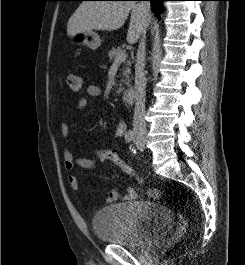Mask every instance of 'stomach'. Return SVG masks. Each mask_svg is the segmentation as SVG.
Listing matches in <instances>:
<instances>
[{
    "label": "stomach",
    "instance_id": "obj_1",
    "mask_svg": "<svg viewBox=\"0 0 245 265\" xmlns=\"http://www.w3.org/2000/svg\"><path fill=\"white\" fill-rule=\"evenodd\" d=\"M70 41L76 45L87 46L91 50H96L101 45V39L99 35L93 31L77 33L70 37Z\"/></svg>",
    "mask_w": 245,
    "mask_h": 265
}]
</instances>
